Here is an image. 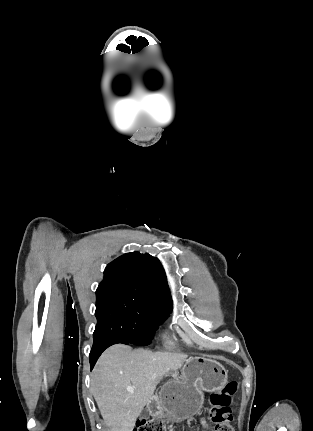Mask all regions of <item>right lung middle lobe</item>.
<instances>
[{
  "label": "right lung middle lobe",
  "mask_w": 313,
  "mask_h": 431,
  "mask_svg": "<svg viewBox=\"0 0 313 431\" xmlns=\"http://www.w3.org/2000/svg\"><path fill=\"white\" fill-rule=\"evenodd\" d=\"M96 298L94 344L103 340H120L134 345H149L158 325L172 311V307H159L123 294L106 293Z\"/></svg>",
  "instance_id": "right-lung-middle-lobe-1"
}]
</instances>
